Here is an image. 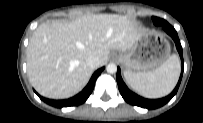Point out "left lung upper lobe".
Wrapping results in <instances>:
<instances>
[{"mask_svg": "<svg viewBox=\"0 0 203 123\" xmlns=\"http://www.w3.org/2000/svg\"><path fill=\"white\" fill-rule=\"evenodd\" d=\"M152 19H153L154 24H156V25H161L160 21L163 20V19H160V18H157V17H153Z\"/></svg>", "mask_w": 203, "mask_h": 123, "instance_id": "1", "label": "left lung upper lobe"}]
</instances>
